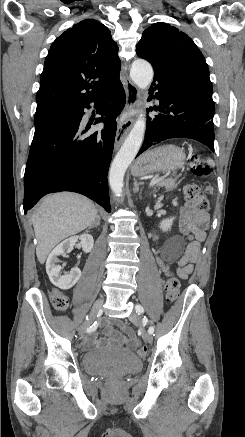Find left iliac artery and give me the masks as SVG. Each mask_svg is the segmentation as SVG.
<instances>
[{
  "mask_svg": "<svg viewBox=\"0 0 245 437\" xmlns=\"http://www.w3.org/2000/svg\"><path fill=\"white\" fill-rule=\"evenodd\" d=\"M135 309H136V312H137L138 314H142V313L144 312V308H143L140 304H136ZM142 321H143V323H145V324H146V322H148V320H147L146 317H144V318L142 319ZM148 332H149L150 334H152V333L154 332V327H153V326H150L149 329H148Z\"/></svg>",
  "mask_w": 245,
  "mask_h": 437,
  "instance_id": "left-iliac-artery-1",
  "label": "left iliac artery"
}]
</instances>
